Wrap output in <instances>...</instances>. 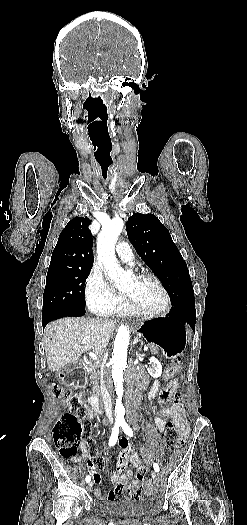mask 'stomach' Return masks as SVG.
Segmentation results:
<instances>
[{"mask_svg": "<svg viewBox=\"0 0 247 525\" xmlns=\"http://www.w3.org/2000/svg\"><path fill=\"white\" fill-rule=\"evenodd\" d=\"M137 331L149 345L159 346L163 355L169 358H175L183 352L190 333L187 324L167 317L141 322Z\"/></svg>", "mask_w": 247, "mask_h": 525, "instance_id": "1", "label": "stomach"}]
</instances>
